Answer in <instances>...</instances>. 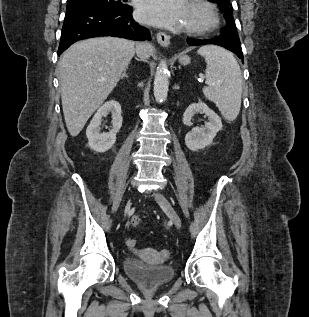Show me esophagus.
<instances>
[{
  "instance_id": "34e87169",
  "label": "esophagus",
  "mask_w": 309,
  "mask_h": 317,
  "mask_svg": "<svg viewBox=\"0 0 309 317\" xmlns=\"http://www.w3.org/2000/svg\"><path fill=\"white\" fill-rule=\"evenodd\" d=\"M158 43L163 47H168L170 44V37L164 32H158L156 35Z\"/></svg>"
}]
</instances>
